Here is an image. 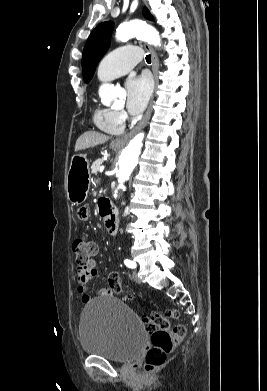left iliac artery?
Here are the masks:
<instances>
[{"label": "left iliac artery", "instance_id": "44dca946", "mask_svg": "<svg viewBox=\"0 0 267 391\" xmlns=\"http://www.w3.org/2000/svg\"><path fill=\"white\" fill-rule=\"evenodd\" d=\"M124 263H125V265L127 266V267H129V268H136V263L134 262V261H131V260H128V259H126L125 261H124Z\"/></svg>", "mask_w": 267, "mask_h": 391}]
</instances>
